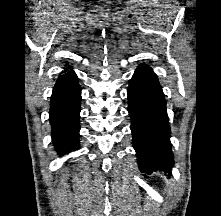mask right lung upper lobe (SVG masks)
<instances>
[{"label": "right lung upper lobe", "mask_w": 221, "mask_h": 216, "mask_svg": "<svg viewBox=\"0 0 221 216\" xmlns=\"http://www.w3.org/2000/svg\"><path fill=\"white\" fill-rule=\"evenodd\" d=\"M68 71V69H65L64 72Z\"/></svg>", "instance_id": "obj_1"}]
</instances>
